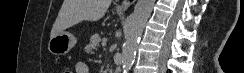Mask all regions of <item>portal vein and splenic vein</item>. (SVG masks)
<instances>
[{
    "mask_svg": "<svg viewBox=\"0 0 244 73\" xmlns=\"http://www.w3.org/2000/svg\"><path fill=\"white\" fill-rule=\"evenodd\" d=\"M105 46H106V42L103 41V42H102V47H105Z\"/></svg>",
    "mask_w": 244,
    "mask_h": 73,
    "instance_id": "obj_1",
    "label": "portal vein and splenic vein"
}]
</instances>
